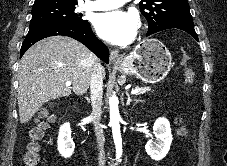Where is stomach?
Wrapping results in <instances>:
<instances>
[{
  "label": "stomach",
  "instance_id": "0dacf381",
  "mask_svg": "<svg viewBox=\"0 0 227 166\" xmlns=\"http://www.w3.org/2000/svg\"><path fill=\"white\" fill-rule=\"evenodd\" d=\"M172 67V57L165 45L157 39H146L126 56L117 69L126 75H134L145 83L163 80Z\"/></svg>",
  "mask_w": 227,
  "mask_h": 166
}]
</instances>
